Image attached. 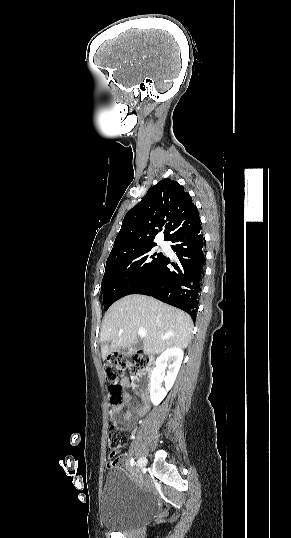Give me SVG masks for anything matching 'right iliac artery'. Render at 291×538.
<instances>
[{"instance_id": "1", "label": "right iliac artery", "mask_w": 291, "mask_h": 538, "mask_svg": "<svg viewBox=\"0 0 291 538\" xmlns=\"http://www.w3.org/2000/svg\"><path fill=\"white\" fill-rule=\"evenodd\" d=\"M134 459L132 458L131 461H130V465L133 466L134 465Z\"/></svg>"}]
</instances>
